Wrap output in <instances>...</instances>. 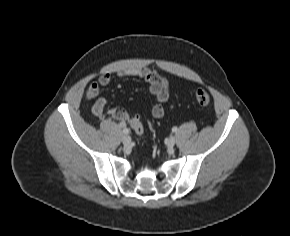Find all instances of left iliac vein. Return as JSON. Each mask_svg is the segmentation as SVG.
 <instances>
[{
	"label": "left iliac vein",
	"instance_id": "1",
	"mask_svg": "<svg viewBox=\"0 0 290 236\" xmlns=\"http://www.w3.org/2000/svg\"><path fill=\"white\" fill-rule=\"evenodd\" d=\"M176 143V137L170 136L167 142L168 148L172 149Z\"/></svg>",
	"mask_w": 290,
	"mask_h": 236
}]
</instances>
